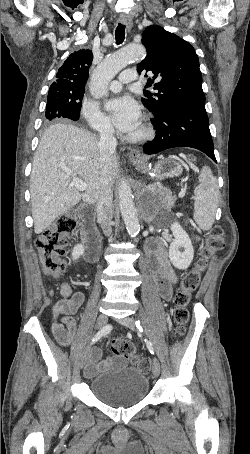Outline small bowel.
Listing matches in <instances>:
<instances>
[{
    "label": "small bowel",
    "instance_id": "1",
    "mask_svg": "<svg viewBox=\"0 0 250 454\" xmlns=\"http://www.w3.org/2000/svg\"><path fill=\"white\" fill-rule=\"evenodd\" d=\"M147 251L157 292L163 299L168 300L178 280V274L169 261L168 250L161 242L151 241L148 243ZM60 292L62 299L54 305L52 311V332L61 345L70 346L77 334L76 322L72 315L82 307L85 296L81 291L73 293L67 284L62 285ZM111 363V358L101 359V351L95 348L90 352L84 365V374L93 377L107 369Z\"/></svg>",
    "mask_w": 250,
    "mask_h": 454
}]
</instances>
